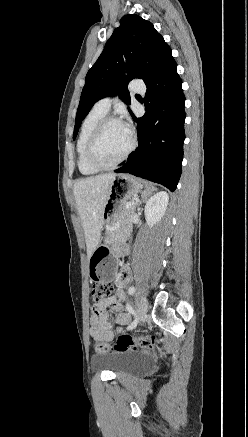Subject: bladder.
Returning <instances> with one entry per match:
<instances>
[{
  "instance_id": "1",
  "label": "bladder",
  "mask_w": 248,
  "mask_h": 437,
  "mask_svg": "<svg viewBox=\"0 0 248 437\" xmlns=\"http://www.w3.org/2000/svg\"><path fill=\"white\" fill-rule=\"evenodd\" d=\"M150 356L140 352H127L115 355L97 354L92 356V364L107 368L116 375L142 370L150 367Z\"/></svg>"
}]
</instances>
